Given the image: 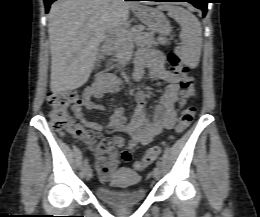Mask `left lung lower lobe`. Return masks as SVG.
<instances>
[{"label": "left lung lower lobe", "instance_id": "obj_1", "mask_svg": "<svg viewBox=\"0 0 260 217\" xmlns=\"http://www.w3.org/2000/svg\"><path fill=\"white\" fill-rule=\"evenodd\" d=\"M146 1H156V2H174V1H182L192 3L196 8L201 9L203 11V15L207 12V3L208 0H146Z\"/></svg>", "mask_w": 260, "mask_h": 217}]
</instances>
